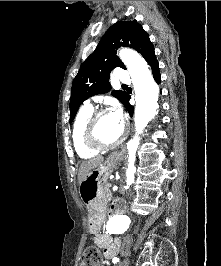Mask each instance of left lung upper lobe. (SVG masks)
<instances>
[{
    "label": "left lung upper lobe",
    "instance_id": "5c2ea615",
    "mask_svg": "<svg viewBox=\"0 0 221 266\" xmlns=\"http://www.w3.org/2000/svg\"><path fill=\"white\" fill-rule=\"evenodd\" d=\"M121 46L134 48L150 66L157 61L154 46L148 34L136 20L118 21L112 25L101 38L95 51L84 61L73 80L70 123L84 100L90 96L110 91L109 76L113 68L126 69L116 55V50ZM111 94L123 104L128 96L121 90L112 91Z\"/></svg>",
    "mask_w": 221,
    "mask_h": 266
}]
</instances>
